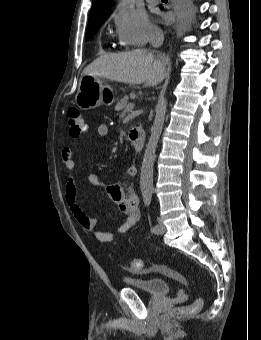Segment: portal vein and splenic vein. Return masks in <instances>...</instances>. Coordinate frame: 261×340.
Returning <instances> with one entry per match:
<instances>
[{
  "label": "portal vein and splenic vein",
  "mask_w": 261,
  "mask_h": 340,
  "mask_svg": "<svg viewBox=\"0 0 261 340\" xmlns=\"http://www.w3.org/2000/svg\"><path fill=\"white\" fill-rule=\"evenodd\" d=\"M134 106H135L134 103H129L128 106H127V110H128V111L133 110Z\"/></svg>",
  "instance_id": "obj_1"
}]
</instances>
